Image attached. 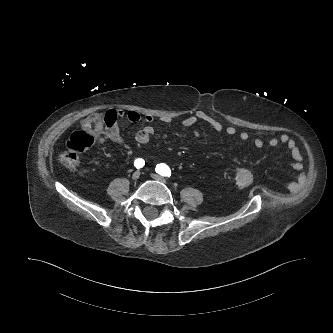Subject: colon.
<instances>
[{"instance_id":"obj_1","label":"colon","mask_w":333,"mask_h":333,"mask_svg":"<svg viewBox=\"0 0 333 333\" xmlns=\"http://www.w3.org/2000/svg\"><path fill=\"white\" fill-rule=\"evenodd\" d=\"M117 121V113L109 110L103 113H93L85 118L78 131L74 132L67 140L65 150L61 154V162L69 170H76L80 163V156L92 147L99 138L106 135ZM254 173L249 168H238L235 181L240 187L252 184Z\"/></svg>"}]
</instances>
